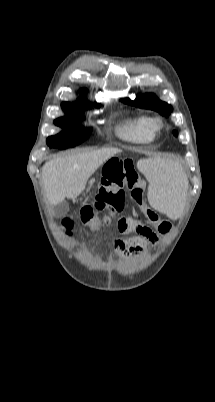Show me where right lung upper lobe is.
I'll use <instances>...</instances> for the list:
<instances>
[{
    "instance_id": "1",
    "label": "right lung upper lobe",
    "mask_w": 215,
    "mask_h": 402,
    "mask_svg": "<svg viewBox=\"0 0 215 402\" xmlns=\"http://www.w3.org/2000/svg\"><path fill=\"white\" fill-rule=\"evenodd\" d=\"M86 90L83 89L82 92H85ZM77 103H81V104H86V105H90L85 99L83 98H79Z\"/></svg>"
}]
</instances>
